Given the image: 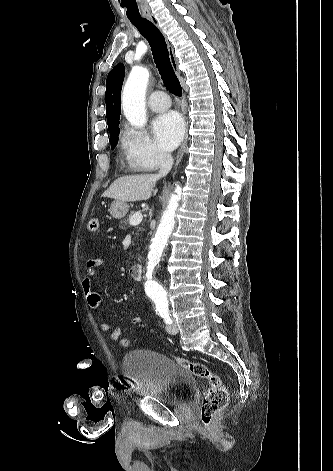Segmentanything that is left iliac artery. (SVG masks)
<instances>
[{"instance_id": "left-iliac-artery-1", "label": "left iliac artery", "mask_w": 333, "mask_h": 471, "mask_svg": "<svg viewBox=\"0 0 333 471\" xmlns=\"http://www.w3.org/2000/svg\"><path fill=\"white\" fill-rule=\"evenodd\" d=\"M160 316L164 319L166 324H172V319L168 311H161Z\"/></svg>"}]
</instances>
